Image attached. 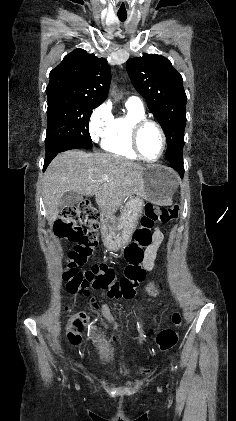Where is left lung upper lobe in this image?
I'll return each mask as SVG.
<instances>
[{
    "label": "left lung upper lobe",
    "mask_w": 236,
    "mask_h": 421,
    "mask_svg": "<svg viewBox=\"0 0 236 421\" xmlns=\"http://www.w3.org/2000/svg\"><path fill=\"white\" fill-rule=\"evenodd\" d=\"M126 68L133 86L145 98L149 110L164 130L166 160L182 161L187 99L182 76L167 58L157 54L131 58Z\"/></svg>",
    "instance_id": "left-lung-upper-lobe-1"
}]
</instances>
